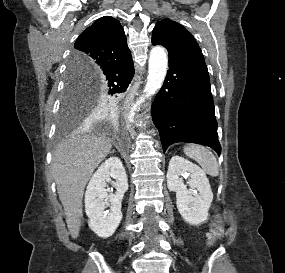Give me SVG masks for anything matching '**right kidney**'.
I'll return each instance as SVG.
<instances>
[{
	"instance_id": "ca27d5eb",
	"label": "right kidney",
	"mask_w": 285,
	"mask_h": 273,
	"mask_svg": "<svg viewBox=\"0 0 285 273\" xmlns=\"http://www.w3.org/2000/svg\"><path fill=\"white\" fill-rule=\"evenodd\" d=\"M111 178L115 181H111ZM111 183L116 192L108 194ZM128 190V179L122 162L110 157L93 174L85 193V211L89 227L99 237L113 235L122 219L121 203ZM109 200L110 204L106 201ZM110 207L109 210H106Z\"/></svg>"
}]
</instances>
